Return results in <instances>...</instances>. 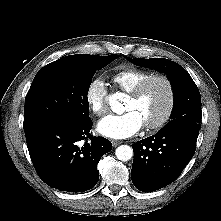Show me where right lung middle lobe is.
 <instances>
[{
    "mask_svg": "<svg viewBox=\"0 0 221 221\" xmlns=\"http://www.w3.org/2000/svg\"><path fill=\"white\" fill-rule=\"evenodd\" d=\"M118 55L77 54L44 66L35 76L25 98L24 131L56 121H90L87 93L96 70Z\"/></svg>",
    "mask_w": 221,
    "mask_h": 221,
    "instance_id": "obj_1",
    "label": "right lung middle lobe"
}]
</instances>
